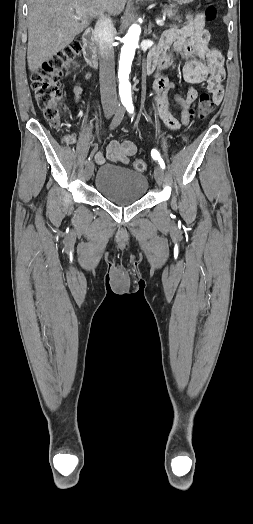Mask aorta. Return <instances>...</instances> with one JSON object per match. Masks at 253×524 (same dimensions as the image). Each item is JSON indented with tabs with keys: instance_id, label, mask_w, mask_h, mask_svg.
Instances as JSON below:
<instances>
[{
	"instance_id": "aorta-1",
	"label": "aorta",
	"mask_w": 253,
	"mask_h": 524,
	"mask_svg": "<svg viewBox=\"0 0 253 524\" xmlns=\"http://www.w3.org/2000/svg\"><path fill=\"white\" fill-rule=\"evenodd\" d=\"M141 28L139 25H132L126 35L124 36V44L121 49V55L118 68L119 79V94L121 100H131V84L129 82V74L131 72V64L135 55V50L138 46Z\"/></svg>"
}]
</instances>
